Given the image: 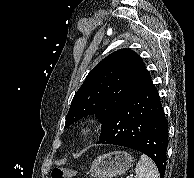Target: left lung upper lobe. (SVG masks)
Instances as JSON below:
<instances>
[{
    "label": "left lung upper lobe",
    "instance_id": "obj_1",
    "mask_svg": "<svg viewBox=\"0 0 194 178\" xmlns=\"http://www.w3.org/2000/svg\"><path fill=\"white\" fill-rule=\"evenodd\" d=\"M152 84L138 54L131 49L113 52L89 72L75 93L65 128L87 115H95L102 123L120 103Z\"/></svg>",
    "mask_w": 194,
    "mask_h": 178
}]
</instances>
